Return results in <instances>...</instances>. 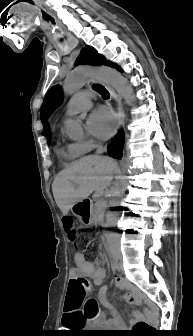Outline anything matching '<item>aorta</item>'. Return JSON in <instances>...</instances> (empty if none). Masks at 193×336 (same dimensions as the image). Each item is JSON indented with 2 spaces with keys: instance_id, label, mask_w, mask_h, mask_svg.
Returning a JSON list of instances; mask_svg holds the SVG:
<instances>
[{
  "instance_id": "obj_1",
  "label": "aorta",
  "mask_w": 193,
  "mask_h": 336,
  "mask_svg": "<svg viewBox=\"0 0 193 336\" xmlns=\"http://www.w3.org/2000/svg\"><path fill=\"white\" fill-rule=\"evenodd\" d=\"M98 77L109 83L127 102L133 104L135 95L133 88L128 81L120 75L115 69L110 67H77L66 78L64 82V92L67 95L76 93L82 88L91 77ZM66 134L72 140H79L84 135L82 124L77 120H68L65 124ZM120 187L116 183L113 187L115 194L119 193ZM110 204L115 206L118 204L117 197H114Z\"/></svg>"
}]
</instances>
